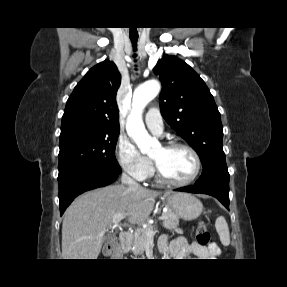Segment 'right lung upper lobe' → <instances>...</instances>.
I'll return each instance as SVG.
<instances>
[{"label": "right lung upper lobe", "mask_w": 287, "mask_h": 287, "mask_svg": "<svg viewBox=\"0 0 287 287\" xmlns=\"http://www.w3.org/2000/svg\"><path fill=\"white\" fill-rule=\"evenodd\" d=\"M120 83L121 75L113 62L105 60L91 68L67 100L61 130L77 124L120 129L115 100Z\"/></svg>", "instance_id": "1"}]
</instances>
